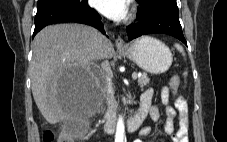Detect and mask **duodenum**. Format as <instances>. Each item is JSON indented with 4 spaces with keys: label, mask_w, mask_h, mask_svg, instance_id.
I'll list each match as a JSON object with an SVG mask.
<instances>
[{
    "label": "duodenum",
    "mask_w": 227,
    "mask_h": 142,
    "mask_svg": "<svg viewBox=\"0 0 227 142\" xmlns=\"http://www.w3.org/2000/svg\"><path fill=\"white\" fill-rule=\"evenodd\" d=\"M148 114L147 107L140 103L138 110L134 115L130 116L126 120V127L129 132L136 131L144 121ZM116 126V118L113 113H108L105 120L104 129L105 131L112 133Z\"/></svg>",
    "instance_id": "duodenum-1"
}]
</instances>
